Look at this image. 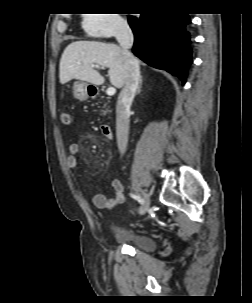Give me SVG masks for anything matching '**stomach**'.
Here are the masks:
<instances>
[{
    "label": "stomach",
    "mask_w": 252,
    "mask_h": 303,
    "mask_svg": "<svg viewBox=\"0 0 252 303\" xmlns=\"http://www.w3.org/2000/svg\"><path fill=\"white\" fill-rule=\"evenodd\" d=\"M90 85L85 81H76L73 84V94L76 99L86 100L89 97Z\"/></svg>",
    "instance_id": "0dacf381"
}]
</instances>
